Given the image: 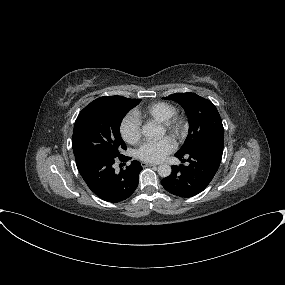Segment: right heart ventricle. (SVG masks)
<instances>
[{
	"label": "right heart ventricle",
	"instance_id": "1",
	"mask_svg": "<svg viewBox=\"0 0 285 285\" xmlns=\"http://www.w3.org/2000/svg\"><path fill=\"white\" fill-rule=\"evenodd\" d=\"M176 113V108L167 102H153L141 109L135 110L134 114L140 120L153 119L160 123L166 121Z\"/></svg>",
	"mask_w": 285,
	"mask_h": 285
}]
</instances>
